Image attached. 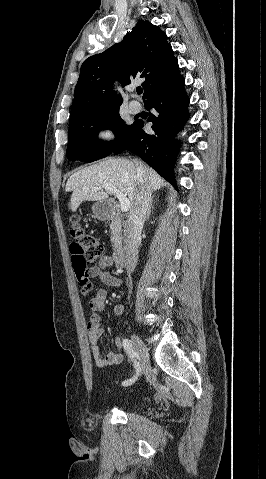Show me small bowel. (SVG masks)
<instances>
[{
	"mask_svg": "<svg viewBox=\"0 0 266 479\" xmlns=\"http://www.w3.org/2000/svg\"><path fill=\"white\" fill-rule=\"evenodd\" d=\"M112 264L113 260L110 256H103L100 259L99 264L89 270V276L91 278H99L107 287L119 288L122 285L121 279L118 276L106 271V269L111 267ZM106 298L107 291L106 289L102 288L96 292L94 297L89 302L91 315L87 324V332L91 344L92 356L95 365L98 368H106L108 366L117 365L123 360V355L121 352L123 343L119 338L114 340L115 350L109 351L105 355L101 354L98 346V341L104 334L102 312L105 307ZM123 310V305L117 304L113 307V315L115 317H119L123 314Z\"/></svg>",
	"mask_w": 266,
	"mask_h": 479,
	"instance_id": "obj_1",
	"label": "small bowel"
}]
</instances>
